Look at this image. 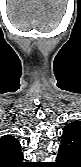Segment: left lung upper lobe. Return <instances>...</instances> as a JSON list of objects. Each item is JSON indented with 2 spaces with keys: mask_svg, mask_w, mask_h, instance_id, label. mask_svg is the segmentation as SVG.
I'll use <instances>...</instances> for the list:
<instances>
[{
  "mask_svg": "<svg viewBox=\"0 0 81 167\" xmlns=\"http://www.w3.org/2000/svg\"><path fill=\"white\" fill-rule=\"evenodd\" d=\"M59 150L66 152L68 158L77 165L81 161V122H71L63 128Z\"/></svg>",
  "mask_w": 81,
  "mask_h": 167,
  "instance_id": "left-lung-upper-lobe-1",
  "label": "left lung upper lobe"
}]
</instances>
